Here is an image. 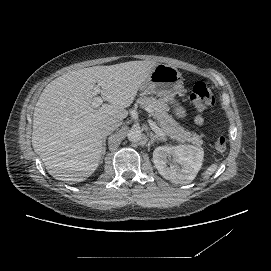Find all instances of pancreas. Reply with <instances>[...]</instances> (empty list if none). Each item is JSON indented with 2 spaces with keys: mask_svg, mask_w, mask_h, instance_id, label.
I'll return each mask as SVG.
<instances>
[{
  "mask_svg": "<svg viewBox=\"0 0 271 271\" xmlns=\"http://www.w3.org/2000/svg\"><path fill=\"white\" fill-rule=\"evenodd\" d=\"M136 102L142 108H149L151 110V114L157 120L158 125L165 134L162 138L166 139L165 137H170L181 143L190 142L198 146L203 144L201 135L186 131L167 113L169 107L165 99L143 96L138 98Z\"/></svg>",
  "mask_w": 271,
  "mask_h": 271,
  "instance_id": "1",
  "label": "pancreas"
}]
</instances>
